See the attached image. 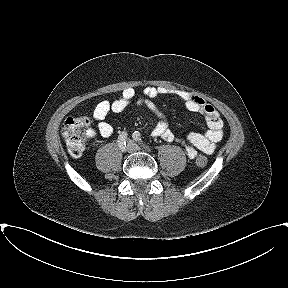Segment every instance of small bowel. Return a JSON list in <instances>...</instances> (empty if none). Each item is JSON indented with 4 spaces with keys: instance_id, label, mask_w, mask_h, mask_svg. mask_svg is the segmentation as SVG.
<instances>
[{
    "instance_id": "small-bowel-1",
    "label": "small bowel",
    "mask_w": 288,
    "mask_h": 288,
    "mask_svg": "<svg viewBox=\"0 0 288 288\" xmlns=\"http://www.w3.org/2000/svg\"><path fill=\"white\" fill-rule=\"evenodd\" d=\"M173 93L177 95L185 104V107L204 116L208 130L204 134L188 133L184 138L175 135L168 127L164 119V114L157 106L155 100L165 94ZM138 106H145L158 119V123L152 130V136L160 137L167 142H179L185 147L189 158L196 157L198 151L212 154L216 150L217 144L223 138V121L217 109L203 98L185 91H170L163 87H147L142 92V97L136 98L133 88L124 89L120 96L114 101L103 100L94 108L93 115L98 121L97 133L104 137H110L113 133L112 126L105 121L107 115L120 113L132 103ZM95 135L96 132H91Z\"/></svg>"
}]
</instances>
